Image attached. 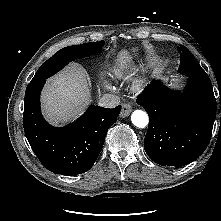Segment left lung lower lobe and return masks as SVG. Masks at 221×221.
Returning <instances> with one entry per match:
<instances>
[{
	"mask_svg": "<svg viewBox=\"0 0 221 221\" xmlns=\"http://www.w3.org/2000/svg\"><path fill=\"white\" fill-rule=\"evenodd\" d=\"M136 102L149 115L144 148L154 162L181 167L204 152L216 116V99L208 75H189L184 93L152 81Z\"/></svg>",
	"mask_w": 221,
	"mask_h": 221,
	"instance_id": "1",
	"label": "left lung lower lobe"
}]
</instances>
